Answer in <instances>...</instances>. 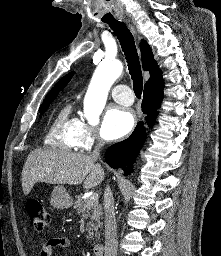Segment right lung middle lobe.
Masks as SVG:
<instances>
[{
	"label": "right lung middle lobe",
	"mask_w": 221,
	"mask_h": 256,
	"mask_svg": "<svg viewBox=\"0 0 221 256\" xmlns=\"http://www.w3.org/2000/svg\"><path fill=\"white\" fill-rule=\"evenodd\" d=\"M55 98H56V95H53V96L45 99L43 101L42 105L39 108V112L44 113L48 109L49 104H51L54 101Z\"/></svg>",
	"instance_id": "dd1d6c3e"
}]
</instances>
